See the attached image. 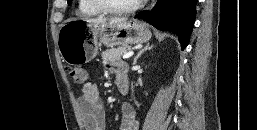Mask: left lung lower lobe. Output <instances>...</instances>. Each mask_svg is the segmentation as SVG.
Instances as JSON below:
<instances>
[{
  "mask_svg": "<svg viewBox=\"0 0 257 130\" xmlns=\"http://www.w3.org/2000/svg\"><path fill=\"white\" fill-rule=\"evenodd\" d=\"M197 0H160L151 11H142L135 18L163 31L175 33L182 50L186 48L195 21Z\"/></svg>",
  "mask_w": 257,
  "mask_h": 130,
  "instance_id": "obj_1",
  "label": "left lung lower lobe"
}]
</instances>
